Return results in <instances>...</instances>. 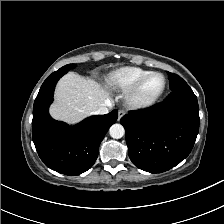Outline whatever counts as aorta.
Instances as JSON below:
<instances>
[{
  "mask_svg": "<svg viewBox=\"0 0 224 224\" xmlns=\"http://www.w3.org/2000/svg\"><path fill=\"white\" fill-rule=\"evenodd\" d=\"M109 134L114 139H120L125 134L124 127L121 124H113L109 129Z\"/></svg>",
  "mask_w": 224,
  "mask_h": 224,
  "instance_id": "1",
  "label": "aorta"
}]
</instances>
